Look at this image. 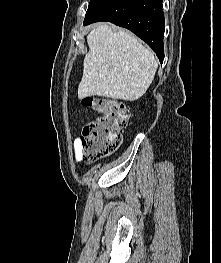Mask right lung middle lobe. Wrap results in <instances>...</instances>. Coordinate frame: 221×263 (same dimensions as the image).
I'll return each instance as SVG.
<instances>
[{"instance_id": "dd1d6c3e", "label": "right lung middle lobe", "mask_w": 221, "mask_h": 263, "mask_svg": "<svg viewBox=\"0 0 221 263\" xmlns=\"http://www.w3.org/2000/svg\"><path fill=\"white\" fill-rule=\"evenodd\" d=\"M110 0H90L85 19L93 17L99 12Z\"/></svg>"}]
</instances>
